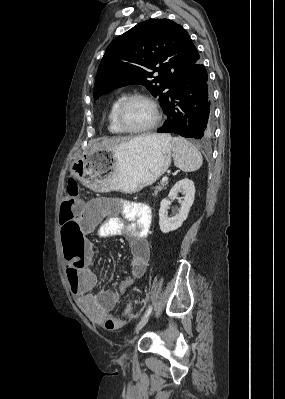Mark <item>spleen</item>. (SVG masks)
<instances>
[{
  "mask_svg": "<svg viewBox=\"0 0 285 399\" xmlns=\"http://www.w3.org/2000/svg\"><path fill=\"white\" fill-rule=\"evenodd\" d=\"M170 139L176 167L184 172H192L202 166L203 157L193 144L182 137H170Z\"/></svg>",
  "mask_w": 285,
  "mask_h": 399,
  "instance_id": "spleen-1",
  "label": "spleen"
}]
</instances>
